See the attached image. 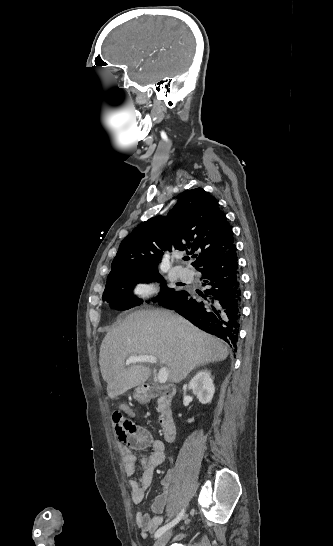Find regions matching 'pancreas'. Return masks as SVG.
Instances as JSON below:
<instances>
[{"mask_svg": "<svg viewBox=\"0 0 333 546\" xmlns=\"http://www.w3.org/2000/svg\"><path fill=\"white\" fill-rule=\"evenodd\" d=\"M160 402H161V399L158 400V403H160Z\"/></svg>", "mask_w": 333, "mask_h": 546, "instance_id": "cf45deb5", "label": "pancreas"}]
</instances>
